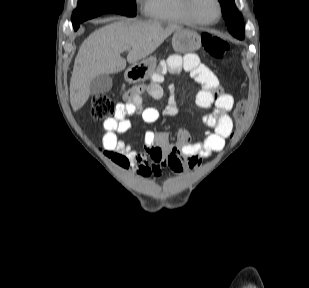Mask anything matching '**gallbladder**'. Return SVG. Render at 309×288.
Segmentation results:
<instances>
[{
	"mask_svg": "<svg viewBox=\"0 0 309 288\" xmlns=\"http://www.w3.org/2000/svg\"><path fill=\"white\" fill-rule=\"evenodd\" d=\"M112 88V78L108 74H101L95 77L90 84V93L96 95L106 93Z\"/></svg>",
	"mask_w": 309,
	"mask_h": 288,
	"instance_id": "1",
	"label": "gallbladder"
}]
</instances>
